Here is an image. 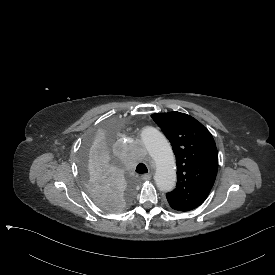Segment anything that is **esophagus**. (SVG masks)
<instances>
[{
    "mask_svg": "<svg viewBox=\"0 0 275 275\" xmlns=\"http://www.w3.org/2000/svg\"><path fill=\"white\" fill-rule=\"evenodd\" d=\"M141 179L143 181H149L151 179V175L150 174H144L141 176Z\"/></svg>",
    "mask_w": 275,
    "mask_h": 275,
    "instance_id": "obj_1",
    "label": "esophagus"
}]
</instances>
